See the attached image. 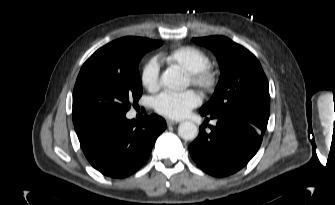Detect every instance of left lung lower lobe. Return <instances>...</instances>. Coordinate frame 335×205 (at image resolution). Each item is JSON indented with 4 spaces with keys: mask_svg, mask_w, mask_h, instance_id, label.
<instances>
[{
    "mask_svg": "<svg viewBox=\"0 0 335 205\" xmlns=\"http://www.w3.org/2000/svg\"><path fill=\"white\" fill-rule=\"evenodd\" d=\"M206 121L214 119L215 126L206 123L200 127L198 137L189 146L193 160L210 175L223 177L243 168L258 151L267 122L254 117L215 113L205 115Z\"/></svg>",
    "mask_w": 335,
    "mask_h": 205,
    "instance_id": "0a47b994",
    "label": "left lung lower lobe"
}]
</instances>
